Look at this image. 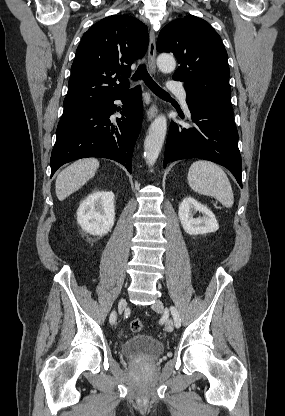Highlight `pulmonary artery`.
<instances>
[{"instance_id": "obj_1", "label": "pulmonary artery", "mask_w": 285, "mask_h": 416, "mask_svg": "<svg viewBox=\"0 0 285 416\" xmlns=\"http://www.w3.org/2000/svg\"><path fill=\"white\" fill-rule=\"evenodd\" d=\"M170 88L179 97V99H180L183 107L185 108V110L188 111L187 102H186L187 91H186L185 87L182 84H172L170 86Z\"/></svg>"}]
</instances>
